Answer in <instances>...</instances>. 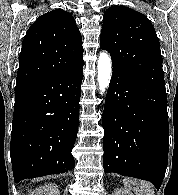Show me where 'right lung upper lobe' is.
I'll return each mask as SVG.
<instances>
[{"mask_svg":"<svg viewBox=\"0 0 178 195\" xmlns=\"http://www.w3.org/2000/svg\"><path fill=\"white\" fill-rule=\"evenodd\" d=\"M84 64L82 37L73 16L56 9L28 29L19 57L17 81L71 72Z\"/></svg>","mask_w":178,"mask_h":195,"instance_id":"cb5924a9","label":"right lung upper lobe"}]
</instances>
